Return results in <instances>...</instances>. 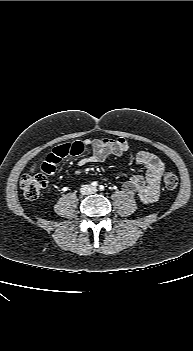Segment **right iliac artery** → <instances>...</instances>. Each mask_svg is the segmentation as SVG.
Returning <instances> with one entry per match:
<instances>
[{"mask_svg":"<svg viewBox=\"0 0 193 351\" xmlns=\"http://www.w3.org/2000/svg\"><path fill=\"white\" fill-rule=\"evenodd\" d=\"M91 185L95 188L98 186V183L96 181L92 182Z\"/></svg>","mask_w":193,"mask_h":351,"instance_id":"obj_1","label":"right iliac artery"}]
</instances>
